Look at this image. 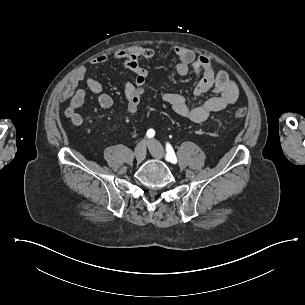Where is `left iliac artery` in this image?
<instances>
[{"instance_id":"obj_1","label":"left iliac artery","mask_w":305,"mask_h":305,"mask_svg":"<svg viewBox=\"0 0 305 305\" xmlns=\"http://www.w3.org/2000/svg\"><path fill=\"white\" fill-rule=\"evenodd\" d=\"M166 152H167V154H166V160H167L168 162H171V163H173V164H176V163H177L176 155H175V153H174V151H173L171 145L168 144V143L166 144Z\"/></svg>"}]
</instances>
